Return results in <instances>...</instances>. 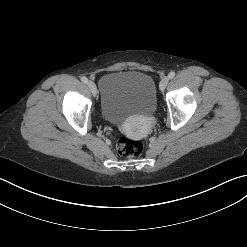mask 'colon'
Wrapping results in <instances>:
<instances>
[{
	"mask_svg": "<svg viewBox=\"0 0 247 247\" xmlns=\"http://www.w3.org/2000/svg\"><path fill=\"white\" fill-rule=\"evenodd\" d=\"M142 150L143 144L139 140L121 138L117 143V151L123 157H136Z\"/></svg>",
	"mask_w": 247,
	"mask_h": 247,
	"instance_id": "colon-1",
	"label": "colon"
}]
</instances>
